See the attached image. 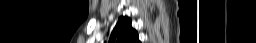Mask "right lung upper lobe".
Wrapping results in <instances>:
<instances>
[{"mask_svg": "<svg viewBox=\"0 0 256 43\" xmlns=\"http://www.w3.org/2000/svg\"><path fill=\"white\" fill-rule=\"evenodd\" d=\"M108 43H140L138 33L131 27L128 17H120L112 30Z\"/></svg>", "mask_w": 256, "mask_h": 43, "instance_id": "1", "label": "right lung upper lobe"}]
</instances>
